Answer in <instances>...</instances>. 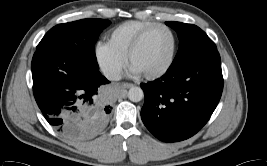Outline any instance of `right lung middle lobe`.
<instances>
[{
  "label": "right lung middle lobe",
  "instance_id": "1",
  "mask_svg": "<svg viewBox=\"0 0 267 166\" xmlns=\"http://www.w3.org/2000/svg\"><path fill=\"white\" fill-rule=\"evenodd\" d=\"M110 23L103 19H83L58 24L45 34L36 50L54 48L98 69L95 43Z\"/></svg>",
  "mask_w": 267,
  "mask_h": 166
}]
</instances>
